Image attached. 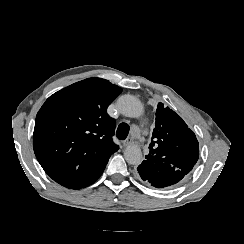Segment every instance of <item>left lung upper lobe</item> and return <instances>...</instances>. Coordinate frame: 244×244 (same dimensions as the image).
I'll return each mask as SVG.
<instances>
[{
    "instance_id": "1",
    "label": "left lung upper lobe",
    "mask_w": 244,
    "mask_h": 244,
    "mask_svg": "<svg viewBox=\"0 0 244 244\" xmlns=\"http://www.w3.org/2000/svg\"><path fill=\"white\" fill-rule=\"evenodd\" d=\"M153 141L146 160L164 163L166 169L187 175L196 164L199 144L194 132L183 119L169 107L158 103Z\"/></svg>"
}]
</instances>
